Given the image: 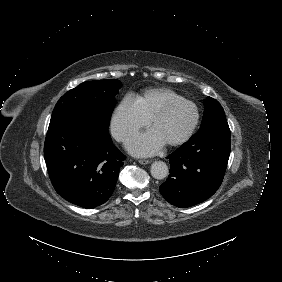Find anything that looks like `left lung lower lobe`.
<instances>
[{
	"mask_svg": "<svg viewBox=\"0 0 282 282\" xmlns=\"http://www.w3.org/2000/svg\"><path fill=\"white\" fill-rule=\"evenodd\" d=\"M229 155L227 122L201 128L167 157L170 175L160 186V193L169 203L182 208L207 200L222 183Z\"/></svg>",
	"mask_w": 282,
	"mask_h": 282,
	"instance_id": "left-lung-lower-lobe-1",
	"label": "left lung lower lobe"
}]
</instances>
